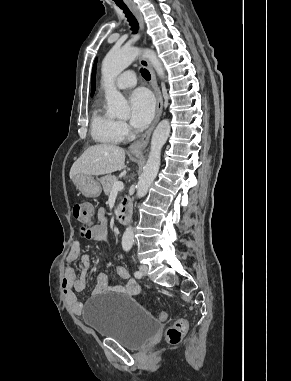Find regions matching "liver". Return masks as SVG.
Masks as SVG:
<instances>
[{
  "label": "liver",
  "instance_id": "liver-1",
  "mask_svg": "<svg viewBox=\"0 0 291 381\" xmlns=\"http://www.w3.org/2000/svg\"><path fill=\"white\" fill-rule=\"evenodd\" d=\"M125 150L113 144H97L89 147L74 162L70 169V178L78 174L98 176L113 173L123 168Z\"/></svg>",
  "mask_w": 291,
  "mask_h": 381
}]
</instances>
